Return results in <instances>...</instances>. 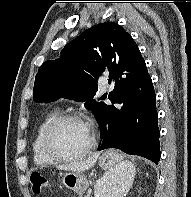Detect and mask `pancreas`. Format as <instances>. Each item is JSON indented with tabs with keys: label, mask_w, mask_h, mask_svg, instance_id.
I'll list each match as a JSON object with an SVG mask.
<instances>
[{
	"label": "pancreas",
	"mask_w": 191,
	"mask_h": 197,
	"mask_svg": "<svg viewBox=\"0 0 191 197\" xmlns=\"http://www.w3.org/2000/svg\"><path fill=\"white\" fill-rule=\"evenodd\" d=\"M85 197H90L89 195H86Z\"/></svg>",
	"instance_id": "pancreas-1"
}]
</instances>
